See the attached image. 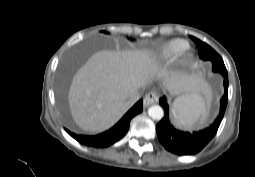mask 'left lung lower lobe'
<instances>
[{"label":"left lung lower lobe","instance_id":"left-lung-lower-lobe-1","mask_svg":"<svg viewBox=\"0 0 255 177\" xmlns=\"http://www.w3.org/2000/svg\"><path fill=\"white\" fill-rule=\"evenodd\" d=\"M224 95L220 100V112L213 124L196 132H184L174 128L168 118V104L166 97L159 100L165 111L164 118L157 124L156 131L160 143L164 148L176 155H194L200 152L216 135L223 119L228 102V76H224Z\"/></svg>","mask_w":255,"mask_h":177}]
</instances>
